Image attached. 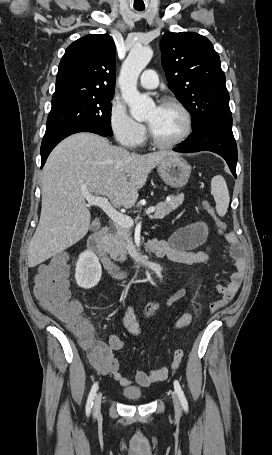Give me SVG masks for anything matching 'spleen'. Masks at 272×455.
I'll use <instances>...</instances> for the list:
<instances>
[{
    "label": "spleen",
    "instance_id": "3e777b00",
    "mask_svg": "<svg viewBox=\"0 0 272 455\" xmlns=\"http://www.w3.org/2000/svg\"><path fill=\"white\" fill-rule=\"evenodd\" d=\"M211 194L216 202V212L223 217L227 213L230 202L229 191L225 179L217 175L211 181Z\"/></svg>",
    "mask_w": 272,
    "mask_h": 455
}]
</instances>
